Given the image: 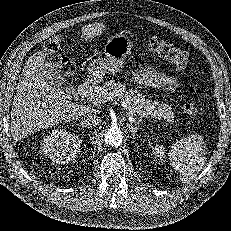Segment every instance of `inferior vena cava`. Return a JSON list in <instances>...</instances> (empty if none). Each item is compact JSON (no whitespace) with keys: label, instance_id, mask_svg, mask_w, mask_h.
<instances>
[{"label":"inferior vena cava","instance_id":"602c4592","mask_svg":"<svg viewBox=\"0 0 231 231\" xmlns=\"http://www.w3.org/2000/svg\"><path fill=\"white\" fill-rule=\"evenodd\" d=\"M100 122H101L100 117H98L96 115L88 114V115L83 117L81 125L83 127H95V126L99 125Z\"/></svg>","mask_w":231,"mask_h":231}]
</instances>
